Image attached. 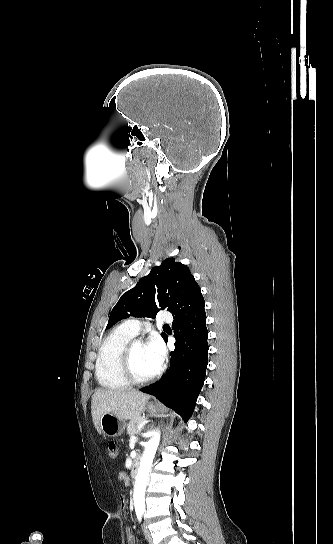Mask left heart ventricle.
<instances>
[{"label": "left heart ventricle", "instance_id": "1", "mask_svg": "<svg viewBox=\"0 0 333 544\" xmlns=\"http://www.w3.org/2000/svg\"><path fill=\"white\" fill-rule=\"evenodd\" d=\"M132 367L138 378H147L157 372L147 354L145 344L136 343L134 345L132 352Z\"/></svg>", "mask_w": 333, "mask_h": 544}]
</instances>
